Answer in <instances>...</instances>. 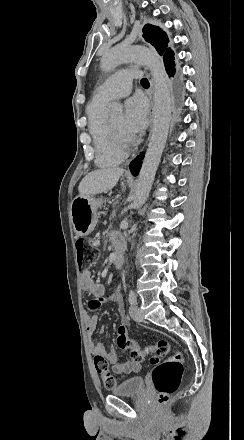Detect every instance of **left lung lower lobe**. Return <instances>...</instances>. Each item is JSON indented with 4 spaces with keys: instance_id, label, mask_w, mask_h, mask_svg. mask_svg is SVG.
<instances>
[{
    "instance_id": "1",
    "label": "left lung lower lobe",
    "mask_w": 244,
    "mask_h": 440,
    "mask_svg": "<svg viewBox=\"0 0 244 440\" xmlns=\"http://www.w3.org/2000/svg\"><path fill=\"white\" fill-rule=\"evenodd\" d=\"M166 71L171 78V95L172 104L174 108L173 122L175 125L179 124L181 119V112L184 104L185 85L182 77V72H176L174 60L165 65Z\"/></svg>"
}]
</instances>
